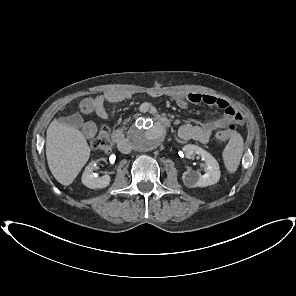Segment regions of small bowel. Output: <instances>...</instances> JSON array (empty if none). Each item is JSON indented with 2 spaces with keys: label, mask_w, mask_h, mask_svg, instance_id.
Wrapping results in <instances>:
<instances>
[{
  "label": "small bowel",
  "mask_w": 296,
  "mask_h": 296,
  "mask_svg": "<svg viewBox=\"0 0 296 296\" xmlns=\"http://www.w3.org/2000/svg\"><path fill=\"white\" fill-rule=\"evenodd\" d=\"M159 95V94H157ZM181 108L190 105L206 104L214 106L222 111V115L216 119L206 122L187 123L180 127L178 136L182 140H193L199 143H208L213 132L217 129L227 127L230 123H242V115L226 100L208 94L196 92H170L167 94ZM131 94L127 91L113 90L98 95L95 98L84 100L81 104V111L88 113L95 110L100 117H106V104L116 103L128 99ZM84 135L91 139L96 133V125L92 121L81 123Z\"/></svg>",
  "instance_id": "c3829d8e"
}]
</instances>
